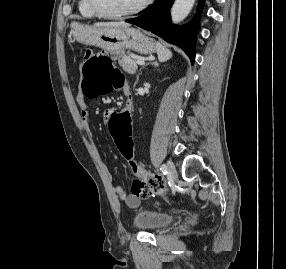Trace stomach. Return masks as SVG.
I'll return each instance as SVG.
<instances>
[{"label": "stomach", "mask_w": 286, "mask_h": 269, "mask_svg": "<svg viewBox=\"0 0 286 269\" xmlns=\"http://www.w3.org/2000/svg\"><path fill=\"white\" fill-rule=\"evenodd\" d=\"M71 33L79 43L101 49H130L141 54L157 50L155 41L136 28H107L73 22Z\"/></svg>", "instance_id": "obj_1"}]
</instances>
